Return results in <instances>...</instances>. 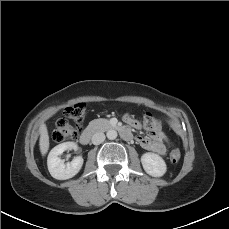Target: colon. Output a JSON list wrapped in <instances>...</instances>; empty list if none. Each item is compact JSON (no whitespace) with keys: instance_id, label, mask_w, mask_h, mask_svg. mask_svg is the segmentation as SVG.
<instances>
[{"instance_id":"colon-1","label":"colon","mask_w":229,"mask_h":229,"mask_svg":"<svg viewBox=\"0 0 229 229\" xmlns=\"http://www.w3.org/2000/svg\"><path fill=\"white\" fill-rule=\"evenodd\" d=\"M86 109L82 103L75 104L66 110L67 116L74 122L72 125L67 119H59L52 132V139L55 142H63L75 138L78 130L82 127ZM145 127L149 130L153 129L154 123L151 119L145 121ZM181 158V152L178 148H173L170 154V160L172 163L179 162Z\"/></svg>"}]
</instances>
